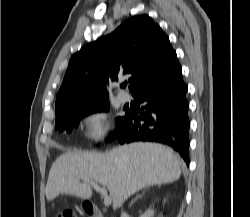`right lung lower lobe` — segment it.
I'll list each match as a JSON object with an SVG mask.
<instances>
[{
  "label": "right lung lower lobe",
  "mask_w": 250,
  "mask_h": 217,
  "mask_svg": "<svg viewBox=\"0 0 250 217\" xmlns=\"http://www.w3.org/2000/svg\"><path fill=\"white\" fill-rule=\"evenodd\" d=\"M187 85L177 56L151 79L139 86L133 97L145 106L139 113L127 111L117 138L120 143L136 140L170 145L189 165V118Z\"/></svg>",
  "instance_id": "obj_1"
}]
</instances>
